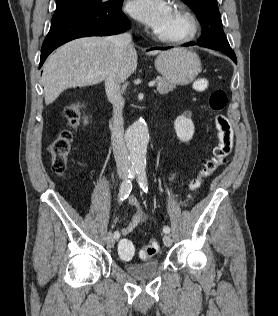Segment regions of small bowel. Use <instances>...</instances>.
I'll use <instances>...</instances> for the list:
<instances>
[{
	"instance_id": "small-bowel-1",
	"label": "small bowel",
	"mask_w": 278,
	"mask_h": 316,
	"mask_svg": "<svg viewBox=\"0 0 278 316\" xmlns=\"http://www.w3.org/2000/svg\"><path fill=\"white\" fill-rule=\"evenodd\" d=\"M128 204L134 208V214L131 218V221L126 227L121 231L122 235L126 236L135 230L144 220L145 212L140 202L134 197L130 196L128 198Z\"/></svg>"
}]
</instances>
